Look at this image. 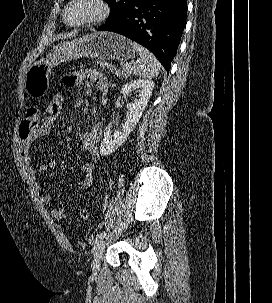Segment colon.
Here are the masks:
<instances>
[{"instance_id": "obj_1", "label": "colon", "mask_w": 272, "mask_h": 303, "mask_svg": "<svg viewBox=\"0 0 272 303\" xmlns=\"http://www.w3.org/2000/svg\"><path fill=\"white\" fill-rule=\"evenodd\" d=\"M97 64L101 71L111 74L114 77H120L122 71L113 62L105 59L97 61ZM63 108V98L59 93L54 94L48 101L43 115L40 118V129L48 134H51L58 126ZM89 218V211L87 209H81L78 213V219L85 221Z\"/></svg>"}]
</instances>
